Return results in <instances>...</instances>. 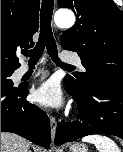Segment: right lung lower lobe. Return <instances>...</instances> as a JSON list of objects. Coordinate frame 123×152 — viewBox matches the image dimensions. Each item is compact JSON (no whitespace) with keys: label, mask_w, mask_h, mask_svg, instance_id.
Segmentation results:
<instances>
[{"label":"right lung lower lobe","mask_w":123,"mask_h":152,"mask_svg":"<svg viewBox=\"0 0 123 152\" xmlns=\"http://www.w3.org/2000/svg\"><path fill=\"white\" fill-rule=\"evenodd\" d=\"M27 95V85L1 87V132L16 133L46 148L51 141L48 116L26 101Z\"/></svg>","instance_id":"right-lung-lower-lobe-1"}]
</instances>
